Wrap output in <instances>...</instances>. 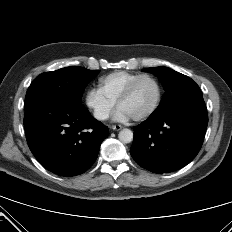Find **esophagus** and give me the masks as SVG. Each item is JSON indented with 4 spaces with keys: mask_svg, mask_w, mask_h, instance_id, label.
I'll return each mask as SVG.
<instances>
[{
    "mask_svg": "<svg viewBox=\"0 0 232 232\" xmlns=\"http://www.w3.org/2000/svg\"><path fill=\"white\" fill-rule=\"evenodd\" d=\"M111 128L115 131H119L122 129V126L121 125H112Z\"/></svg>",
    "mask_w": 232,
    "mask_h": 232,
    "instance_id": "1",
    "label": "esophagus"
}]
</instances>
